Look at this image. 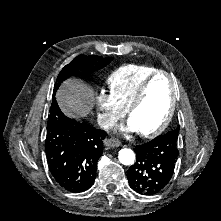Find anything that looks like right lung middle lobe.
<instances>
[{"instance_id": "dd1d6c3e", "label": "right lung middle lobe", "mask_w": 221, "mask_h": 221, "mask_svg": "<svg viewBox=\"0 0 221 221\" xmlns=\"http://www.w3.org/2000/svg\"><path fill=\"white\" fill-rule=\"evenodd\" d=\"M112 59V57L103 58L95 55H79L62 69L54 86V92L57 91L62 81L68 77L77 75L79 71H82L85 76H90L94 71L105 67Z\"/></svg>"}]
</instances>
